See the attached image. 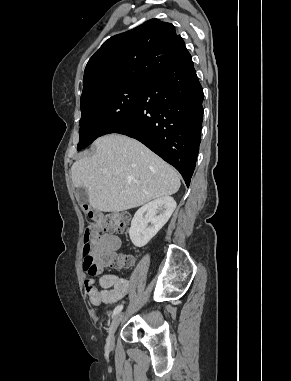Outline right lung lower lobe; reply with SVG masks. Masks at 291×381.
Masks as SVG:
<instances>
[{"label":"right lung lower lobe","mask_w":291,"mask_h":381,"mask_svg":"<svg viewBox=\"0 0 291 381\" xmlns=\"http://www.w3.org/2000/svg\"><path fill=\"white\" fill-rule=\"evenodd\" d=\"M203 90L186 49L150 78L133 115L107 132L135 138L173 165L187 186L201 141Z\"/></svg>","instance_id":"98d812e1"}]
</instances>
